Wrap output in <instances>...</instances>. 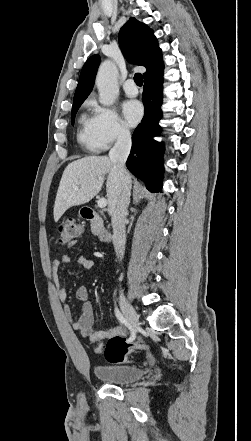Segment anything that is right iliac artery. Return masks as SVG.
<instances>
[{
  "mask_svg": "<svg viewBox=\"0 0 251 441\" xmlns=\"http://www.w3.org/2000/svg\"><path fill=\"white\" fill-rule=\"evenodd\" d=\"M115 314H116L117 318L119 319V321L130 330L131 335L129 337V341H133L135 339V333H134L133 329L131 328V326L129 325L128 321L124 318V316L122 315V313L120 312V310L118 308L115 309Z\"/></svg>",
  "mask_w": 251,
  "mask_h": 441,
  "instance_id": "1",
  "label": "right iliac artery"
}]
</instances>
